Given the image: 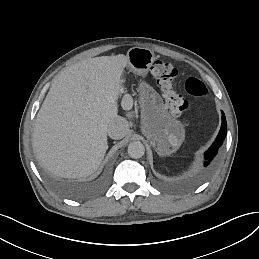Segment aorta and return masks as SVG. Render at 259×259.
Masks as SVG:
<instances>
[{
  "mask_svg": "<svg viewBox=\"0 0 259 259\" xmlns=\"http://www.w3.org/2000/svg\"><path fill=\"white\" fill-rule=\"evenodd\" d=\"M145 153V147L140 141L131 142L128 146V154L131 158H141Z\"/></svg>",
  "mask_w": 259,
  "mask_h": 259,
  "instance_id": "aorta-1",
  "label": "aorta"
}]
</instances>
